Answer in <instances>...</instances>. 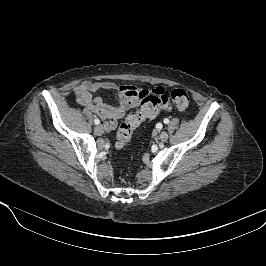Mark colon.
Instances as JSON below:
<instances>
[{"mask_svg": "<svg viewBox=\"0 0 266 266\" xmlns=\"http://www.w3.org/2000/svg\"><path fill=\"white\" fill-rule=\"evenodd\" d=\"M189 104L187 92L179 88L172 90L169 94L164 91L144 94L140 108L129 114L120 124L116 136V147L118 149L126 147L130 142L133 130L144 120L155 117L159 111L169 110L172 107L184 110L188 108Z\"/></svg>", "mask_w": 266, "mask_h": 266, "instance_id": "1", "label": "colon"}]
</instances>
